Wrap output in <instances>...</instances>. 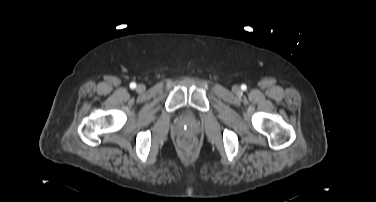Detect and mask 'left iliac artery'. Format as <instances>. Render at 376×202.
I'll use <instances>...</instances> for the list:
<instances>
[{
	"label": "left iliac artery",
	"instance_id": "left-iliac-artery-1",
	"mask_svg": "<svg viewBox=\"0 0 376 202\" xmlns=\"http://www.w3.org/2000/svg\"><path fill=\"white\" fill-rule=\"evenodd\" d=\"M246 88H247L246 85H244V84L241 85V89H242V90H246Z\"/></svg>",
	"mask_w": 376,
	"mask_h": 202
}]
</instances>
